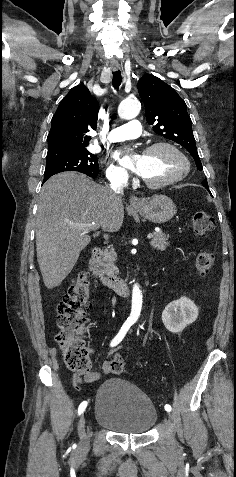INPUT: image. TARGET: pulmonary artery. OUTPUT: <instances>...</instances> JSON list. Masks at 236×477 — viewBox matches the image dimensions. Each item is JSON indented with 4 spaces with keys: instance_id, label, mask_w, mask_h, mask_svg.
Listing matches in <instances>:
<instances>
[{
    "instance_id": "pulmonary-artery-1",
    "label": "pulmonary artery",
    "mask_w": 236,
    "mask_h": 477,
    "mask_svg": "<svg viewBox=\"0 0 236 477\" xmlns=\"http://www.w3.org/2000/svg\"><path fill=\"white\" fill-rule=\"evenodd\" d=\"M141 133V123L138 120H131L127 124L114 128L109 132L111 142H120L137 138Z\"/></svg>"
}]
</instances>
